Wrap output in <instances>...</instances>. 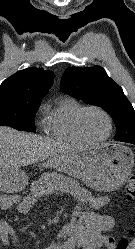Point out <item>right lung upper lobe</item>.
Returning a JSON list of instances; mask_svg holds the SVG:
<instances>
[{
    "instance_id": "right-lung-upper-lobe-1",
    "label": "right lung upper lobe",
    "mask_w": 135,
    "mask_h": 249,
    "mask_svg": "<svg viewBox=\"0 0 135 249\" xmlns=\"http://www.w3.org/2000/svg\"><path fill=\"white\" fill-rule=\"evenodd\" d=\"M53 81L52 71L42 68H27L4 80L0 85V95L19 96L41 101L52 86Z\"/></svg>"
}]
</instances>
